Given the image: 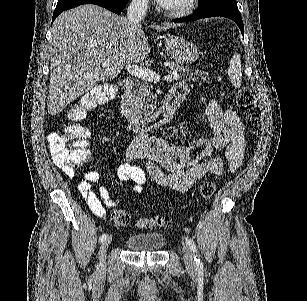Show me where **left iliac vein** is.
Returning <instances> with one entry per match:
<instances>
[{
    "label": "left iliac vein",
    "mask_w": 307,
    "mask_h": 301,
    "mask_svg": "<svg viewBox=\"0 0 307 301\" xmlns=\"http://www.w3.org/2000/svg\"><path fill=\"white\" fill-rule=\"evenodd\" d=\"M184 262L188 269L195 268V256L189 245L182 243Z\"/></svg>",
    "instance_id": "1"
}]
</instances>
